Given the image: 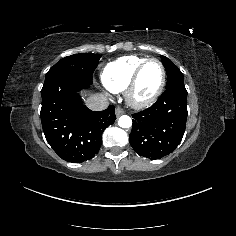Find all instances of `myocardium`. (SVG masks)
I'll return each mask as SVG.
<instances>
[{"instance_id": "f54148a6", "label": "myocardium", "mask_w": 236, "mask_h": 236, "mask_svg": "<svg viewBox=\"0 0 236 236\" xmlns=\"http://www.w3.org/2000/svg\"><path fill=\"white\" fill-rule=\"evenodd\" d=\"M151 62H156L161 66V68H162L161 82L152 96H150L147 99H138L135 96V89H136V85H137L139 76H140L141 72L143 71V69ZM166 80H167V71H166V67H165L164 63L157 58L146 59L136 68L127 88L125 89L124 94H125L126 102L131 107L136 108V109H143V108H147V107L152 106L158 100V98L161 96L162 91L166 85Z\"/></svg>"}]
</instances>
